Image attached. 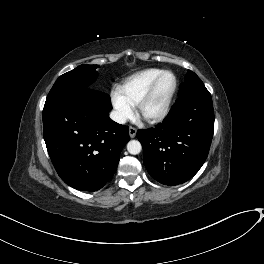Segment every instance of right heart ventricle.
Returning <instances> with one entry per match:
<instances>
[{
  "mask_svg": "<svg viewBox=\"0 0 264 264\" xmlns=\"http://www.w3.org/2000/svg\"><path fill=\"white\" fill-rule=\"evenodd\" d=\"M162 71L157 68H147L138 71L124 81L119 87V91L132 105H135L152 81Z\"/></svg>",
  "mask_w": 264,
  "mask_h": 264,
  "instance_id": "right-heart-ventricle-1",
  "label": "right heart ventricle"
}]
</instances>
